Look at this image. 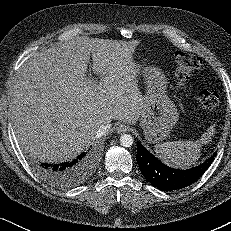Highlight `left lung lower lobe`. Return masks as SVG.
Wrapping results in <instances>:
<instances>
[{
  "instance_id": "0a47b994",
  "label": "left lung lower lobe",
  "mask_w": 231,
  "mask_h": 231,
  "mask_svg": "<svg viewBox=\"0 0 231 231\" xmlns=\"http://www.w3.org/2000/svg\"><path fill=\"white\" fill-rule=\"evenodd\" d=\"M215 156L216 153L197 167L177 170L163 164L140 142H137L136 160L141 173L154 187L163 191L182 189L194 183L205 173Z\"/></svg>"
}]
</instances>
